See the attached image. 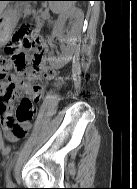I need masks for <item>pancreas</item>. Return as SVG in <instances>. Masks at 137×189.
Wrapping results in <instances>:
<instances>
[{
  "instance_id": "pancreas-1",
  "label": "pancreas",
  "mask_w": 137,
  "mask_h": 189,
  "mask_svg": "<svg viewBox=\"0 0 137 189\" xmlns=\"http://www.w3.org/2000/svg\"><path fill=\"white\" fill-rule=\"evenodd\" d=\"M47 17H48V13L44 12L41 16L36 17V19L40 20V18H41L42 20H45V19H47Z\"/></svg>"
}]
</instances>
